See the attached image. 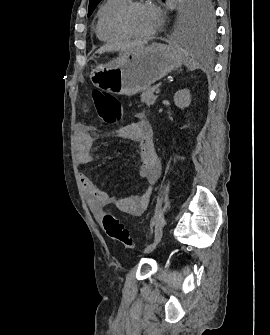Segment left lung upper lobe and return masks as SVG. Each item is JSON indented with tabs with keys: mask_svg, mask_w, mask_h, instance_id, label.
<instances>
[{
	"mask_svg": "<svg viewBox=\"0 0 270 335\" xmlns=\"http://www.w3.org/2000/svg\"><path fill=\"white\" fill-rule=\"evenodd\" d=\"M101 0H90L88 16ZM165 1V0H163ZM211 0H185L184 13L188 27L199 33H210L213 30V7Z\"/></svg>",
	"mask_w": 270,
	"mask_h": 335,
	"instance_id": "5c2ea615",
	"label": "left lung upper lobe"
}]
</instances>
